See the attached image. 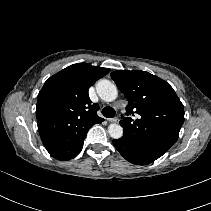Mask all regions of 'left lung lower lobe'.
Here are the masks:
<instances>
[{
    "label": "left lung lower lobe",
    "instance_id": "obj_1",
    "mask_svg": "<svg viewBox=\"0 0 211 211\" xmlns=\"http://www.w3.org/2000/svg\"><path fill=\"white\" fill-rule=\"evenodd\" d=\"M113 144L119 153L129 162L136 165H146L155 161L145 154L139 147L127 139L124 135L119 139H114Z\"/></svg>",
    "mask_w": 211,
    "mask_h": 211
}]
</instances>
